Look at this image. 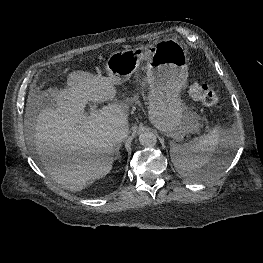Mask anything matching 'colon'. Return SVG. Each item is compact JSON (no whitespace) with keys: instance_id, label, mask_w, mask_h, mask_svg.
<instances>
[{"instance_id":"5ec220e1","label":"colon","mask_w":263,"mask_h":263,"mask_svg":"<svg viewBox=\"0 0 263 263\" xmlns=\"http://www.w3.org/2000/svg\"><path fill=\"white\" fill-rule=\"evenodd\" d=\"M190 97L206 106H217L219 104V99L217 94L204 83L194 82L189 87Z\"/></svg>"}]
</instances>
